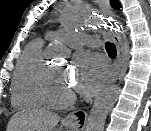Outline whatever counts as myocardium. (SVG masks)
Segmentation results:
<instances>
[{"instance_id": "f54148a6", "label": "myocardium", "mask_w": 151, "mask_h": 131, "mask_svg": "<svg viewBox=\"0 0 151 131\" xmlns=\"http://www.w3.org/2000/svg\"><path fill=\"white\" fill-rule=\"evenodd\" d=\"M54 74V69L50 66H47L43 71L39 81H38V94L42 103L48 107L52 108H65L70 106L75 102V95L73 93H68L62 97H54L51 95L49 90V83Z\"/></svg>"}]
</instances>
